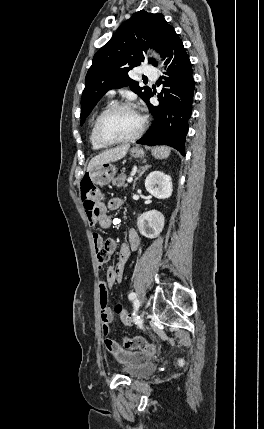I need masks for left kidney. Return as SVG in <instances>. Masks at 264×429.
<instances>
[{
	"label": "left kidney",
	"instance_id": "5707ae66",
	"mask_svg": "<svg viewBox=\"0 0 264 429\" xmlns=\"http://www.w3.org/2000/svg\"><path fill=\"white\" fill-rule=\"evenodd\" d=\"M145 188L158 199L169 198L172 194L171 177L162 171H153L145 180ZM137 226L143 236L155 238L164 228V216L157 210L147 211L139 216Z\"/></svg>",
	"mask_w": 264,
	"mask_h": 429
}]
</instances>
